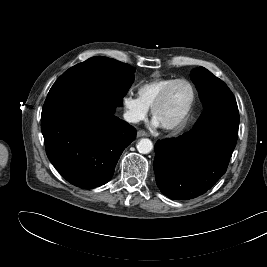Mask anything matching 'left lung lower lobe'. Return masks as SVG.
<instances>
[{"label": "left lung lower lobe", "instance_id": "0a47b994", "mask_svg": "<svg viewBox=\"0 0 267 267\" xmlns=\"http://www.w3.org/2000/svg\"><path fill=\"white\" fill-rule=\"evenodd\" d=\"M238 127L232 113L220 114L195 123L177 138L157 141L153 167L161 192L187 200L209 190L226 172Z\"/></svg>", "mask_w": 267, "mask_h": 267}]
</instances>
